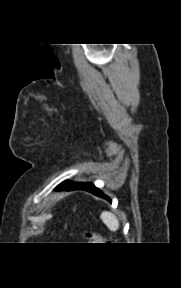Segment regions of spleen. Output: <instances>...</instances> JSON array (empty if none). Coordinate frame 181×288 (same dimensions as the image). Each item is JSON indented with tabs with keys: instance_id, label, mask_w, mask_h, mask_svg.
I'll use <instances>...</instances> for the list:
<instances>
[{
	"instance_id": "spleen-1",
	"label": "spleen",
	"mask_w": 181,
	"mask_h": 288,
	"mask_svg": "<svg viewBox=\"0 0 181 288\" xmlns=\"http://www.w3.org/2000/svg\"><path fill=\"white\" fill-rule=\"evenodd\" d=\"M100 218L111 231L118 230L119 220L113 213L103 211L100 215Z\"/></svg>"
}]
</instances>
